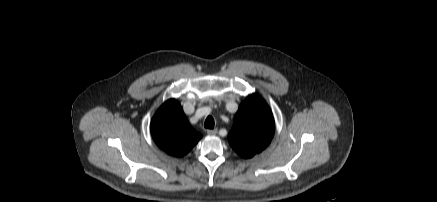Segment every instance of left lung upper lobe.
Returning <instances> with one entry per match:
<instances>
[{"mask_svg": "<svg viewBox=\"0 0 437 202\" xmlns=\"http://www.w3.org/2000/svg\"><path fill=\"white\" fill-rule=\"evenodd\" d=\"M275 123L270 107L257 94L243 101L228 135L229 144L243 158L262 152L271 142Z\"/></svg>", "mask_w": 437, "mask_h": 202, "instance_id": "left-lung-upper-lobe-1", "label": "left lung upper lobe"}]
</instances>
